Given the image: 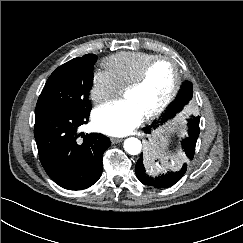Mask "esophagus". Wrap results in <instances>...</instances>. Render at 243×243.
Returning a JSON list of instances; mask_svg holds the SVG:
<instances>
[{"instance_id": "esophagus-1", "label": "esophagus", "mask_w": 243, "mask_h": 243, "mask_svg": "<svg viewBox=\"0 0 243 243\" xmlns=\"http://www.w3.org/2000/svg\"><path fill=\"white\" fill-rule=\"evenodd\" d=\"M123 141V139H121V138H115V137H112L111 138V142L113 143V144H117V143H120V142H122Z\"/></svg>"}]
</instances>
